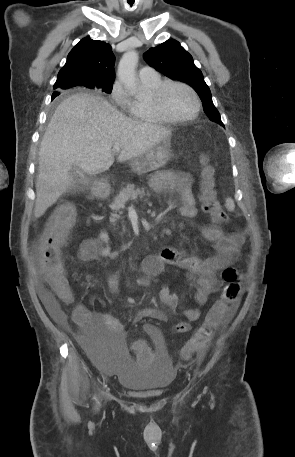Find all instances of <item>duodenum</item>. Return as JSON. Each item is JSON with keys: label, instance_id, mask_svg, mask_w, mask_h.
<instances>
[{"label": "duodenum", "instance_id": "410a0bca", "mask_svg": "<svg viewBox=\"0 0 295 457\" xmlns=\"http://www.w3.org/2000/svg\"><path fill=\"white\" fill-rule=\"evenodd\" d=\"M98 194H99V196L102 197V198H105V197L108 196V193H107L106 191H104V190L99 191Z\"/></svg>", "mask_w": 295, "mask_h": 457}]
</instances>
